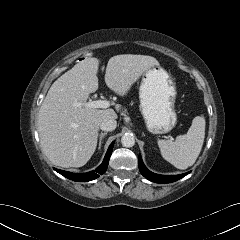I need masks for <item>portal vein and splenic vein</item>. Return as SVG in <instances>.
Masks as SVG:
<instances>
[{"label": "portal vein and splenic vein", "instance_id": "1", "mask_svg": "<svg viewBox=\"0 0 240 240\" xmlns=\"http://www.w3.org/2000/svg\"><path fill=\"white\" fill-rule=\"evenodd\" d=\"M75 106L76 107L85 106L87 108H108L110 106V102L107 100H96L85 103H76Z\"/></svg>", "mask_w": 240, "mask_h": 240}]
</instances>
